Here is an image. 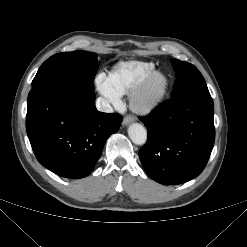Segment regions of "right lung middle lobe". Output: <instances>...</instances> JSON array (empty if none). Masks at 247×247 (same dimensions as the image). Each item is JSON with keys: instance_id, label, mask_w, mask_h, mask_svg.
Wrapping results in <instances>:
<instances>
[{"instance_id": "1", "label": "right lung middle lobe", "mask_w": 247, "mask_h": 247, "mask_svg": "<svg viewBox=\"0 0 247 247\" xmlns=\"http://www.w3.org/2000/svg\"><path fill=\"white\" fill-rule=\"evenodd\" d=\"M98 66L95 53L85 51L57 53L41 65L32 86L34 88L45 84H60L93 92V80Z\"/></svg>"}]
</instances>
